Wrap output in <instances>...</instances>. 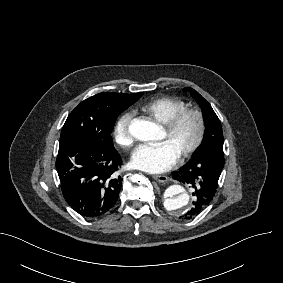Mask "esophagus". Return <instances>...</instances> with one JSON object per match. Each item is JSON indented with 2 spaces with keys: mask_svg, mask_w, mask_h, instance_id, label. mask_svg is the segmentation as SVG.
<instances>
[{
  "mask_svg": "<svg viewBox=\"0 0 283 283\" xmlns=\"http://www.w3.org/2000/svg\"><path fill=\"white\" fill-rule=\"evenodd\" d=\"M153 179L160 183H165L168 181V177L164 175H153Z\"/></svg>",
  "mask_w": 283,
  "mask_h": 283,
  "instance_id": "esophagus-1",
  "label": "esophagus"
}]
</instances>
